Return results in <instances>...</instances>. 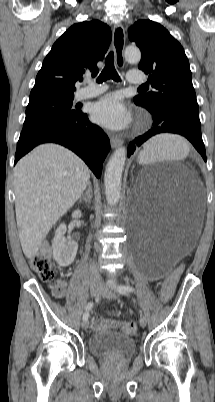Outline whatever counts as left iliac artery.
Returning a JSON list of instances; mask_svg holds the SVG:
<instances>
[{
	"label": "left iliac artery",
	"mask_w": 215,
	"mask_h": 402,
	"mask_svg": "<svg viewBox=\"0 0 215 402\" xmlns=\"http://www.w3.org/2000/svg\"><path fill=\"white\" fill-rule=\"evenodd\" d=\"M117 291L122 295L128 296L129 293L134 292L135 289L130 285H121L117 286Z\"/></svg>",
	"instance_id": "44dca946"
}]
</instances>
